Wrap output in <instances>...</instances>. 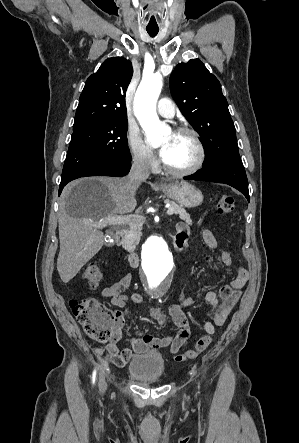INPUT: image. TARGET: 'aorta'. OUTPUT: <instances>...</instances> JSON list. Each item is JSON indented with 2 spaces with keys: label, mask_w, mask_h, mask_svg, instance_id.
Wrapping results in <instances>:
<instances>
[{
  "label": "aorta",
  "mask_w": 299,
  "mask_h": 443,
  "mask_svg": "<svg viewBox=\"0 0 299 443\" xmlns=\"http://www.w3.org/2000/svg\"><path fill=\"white\" fill-rule=\"evenodd\" d=\"M162 85L160 74L144 77L134 97L135 115L151 144H160L170 131V128L159 120L156 112V102ZM173 265L172 253L164 238L151 235L142 251V269L147 278L150 296L160 297L165 293L164 281Z\"/></svg>",
  "instance_id": "aorta-1"
}]
</instances>
